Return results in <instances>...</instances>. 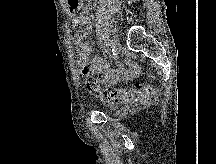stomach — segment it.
Masks as SVG:
<instances>
[{
	"mask_svg": "<svg viewBox=\"0 0 216 164\" xmlns=\"http://www.w3.org/2000/svg\"><path fill=\"white\" fill-rule=\"evenodd\" d=\"M69 10L80 9L83 0H65Z\"/></svg>",
	"mask_w": 216,
	"mask_h": 164,
	"instance_id": "stomach-1",
	"label": "stomach"
}]
</instances>
